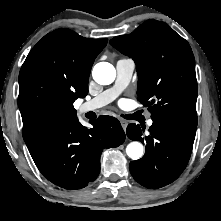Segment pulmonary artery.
Wrapping results in <instances>:
<instances>
[{"label": "pulmonary artery", "mask_w": 221, "mask_h": 221, "mask_svg": "<svg viewBox=\"0 0 221 221\" xmlns=\"http://www.w3.org/2000/svg\"><path fill=\"white\" fill-rule=\"evenodd\" d=\"M135 69V62L131 58H121L116 63V80L114 85L98 94L91 100L83 103L79 108V113L95 111L110 102L128 86ZM147 124L151 126L153 121L150 119Z\"/></svg>", "instance_id": "pulmonary-artery-1"}]
</instances>
